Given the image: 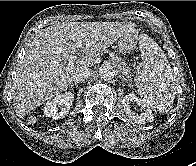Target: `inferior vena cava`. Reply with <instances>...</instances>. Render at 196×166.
Returning <instances> with one entry per match:
<instances>
[{"mask_svg":"<svg viewBox=\"0 0 196 166\" xmlns=\"http://www.w3.org/2000/svg\"><path fill=\"white\" fill-rule=\"evenodd\" d=\"M91 74H92L91 69L89 68L81 69L80 71L75 73V75L73 76V81L75 83L84 82Z\"/></svg>","mask_w":196,"mask_h":166,"instance_id":"inferior-vena-cava-1","label":"inferior vena cava"}]
</instances>
